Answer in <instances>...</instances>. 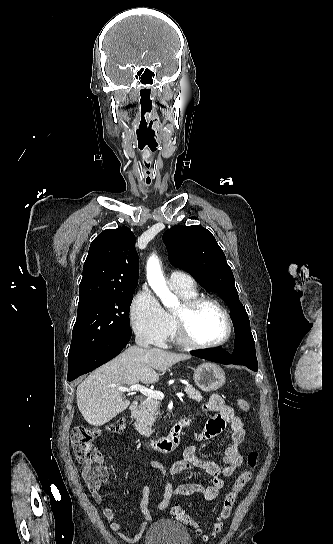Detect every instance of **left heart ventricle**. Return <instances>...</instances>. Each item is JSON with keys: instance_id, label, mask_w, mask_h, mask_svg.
<instances>
[{"instance_id": "obj_1", "label": "left heart ventricle", "mask_w": 333, "mask_h": 544, "mask_svg": "<svg viewBox=\"0 0 333 544\" xmlns=\"http://www.w3.org/2000/svg\"><path fill=\"white\" fill-rule=\"evenodd\" d=\"M178 310V309H177ZM193 337L200 343H214L221 340L227 331L221 310L214 304L203 305L190 322Z\"/></svg>"}]
</instances>
